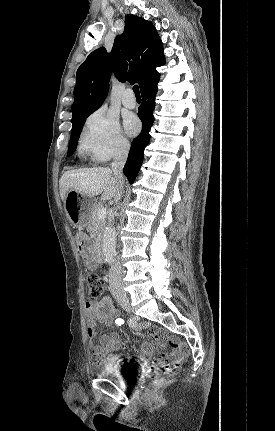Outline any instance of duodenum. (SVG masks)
Masks as SVG:
<instances>
[{"mask_svg":"<svg viewBox=\"0 0 275 431\" xmlns=\"http://www.w3.org/2000/svg\"><path fill=\"white\" fill-rule=\"evenodd\" d=\"M94 258L97 263H102L104 260V253L100 245L94 247Z\"/></svg>","mask_w":275,"mask_h":431,"instance_id":"duodenum-1","label":"duodenum"}]
</instances>
